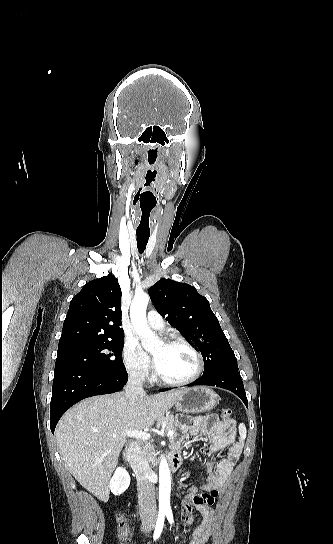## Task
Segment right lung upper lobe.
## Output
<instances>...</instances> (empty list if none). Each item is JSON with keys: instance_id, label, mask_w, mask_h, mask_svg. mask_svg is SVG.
Segmentation results:
<instances>
[{"instance_id": "right-lung-upper-lobe-1", "label": "right lung upper lobe", "mask_w": 333, "mask_h": 544, "mask_svg": "<svg viewBox=\"0 0 333 544\" xmlns=\"http://www.w3.org/2000/svg\"><path fill=\"white\" fill-rule=\"evenodd\" d=\"M121 324L118 279L109 274L92 280L70 302L58 349L124 336Z\"/></svg>"}]
</instances>
